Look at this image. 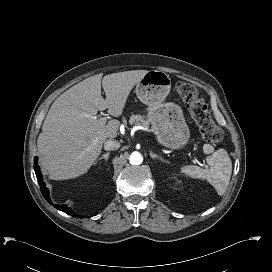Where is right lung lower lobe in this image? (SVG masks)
<instances>
[{
    "instance_id": "98d812e1",
    "label": "right lung lower lobe",
    "mask_w": 272,
    "mask_h": 272,
    "mask_svg": "<svg viewBox=\"0 0 272 272\" xmlns=\"http://www.w3.org/2000/svg\"><path fill=\"white\" fill-rule=\"evenodd\" d=\"M37 161H38V157H35L34 158V169H35V173H36V176H37V179H38V183L41 187V192L44 196V198L47 200V202L51 203V199L49 197V190L46 188V185L45 183L43 182V180L41 179V172H40V168L37 164ZM55 208L61 210V211H64L66 212L67 214H70L71 216L73 217H81L83 218V216H80V215H77L75 214L71 208L67 207V205H54Z\"/></svg>"
}]
</instances>
